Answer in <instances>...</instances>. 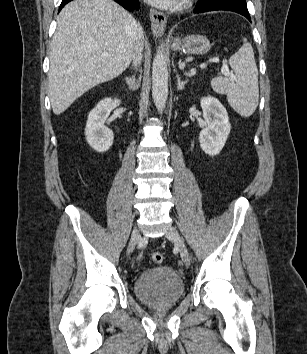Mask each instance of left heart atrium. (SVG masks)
I'll return each mask as SVG.
<instances>
[{
    "label": "left heart atrium",
    "instance_id": "39dd6f15",
    "mask_svg": "<svg viewBox=\"0 0 307 354\" xmlns=\"http://www.w3.org/2000/svg\"><path fill=\"white\" fill-rule=\"evenodd\" d=\"M146 1L160 8H170L178 5L181 0H146Z\"/></svg>",
    "mask_w": 307,
    "mask_h": 354
}]
</instances>
